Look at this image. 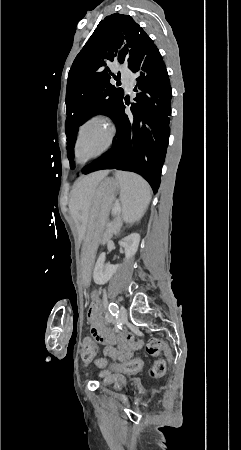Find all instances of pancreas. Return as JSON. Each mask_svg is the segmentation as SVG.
<instances>
[{"instance_id": "1", "label": "pancreas", "mask_w": 241, "mask_h": 450, "mask_svg": "<svg viewBox=\"0 0 241 450\" xmlns=\"http://www.w3.org/2000/svg\"><path fill=\"white\" fill-rule=\"evenodd\" d=\"M117 220H120V218H119V216H115V218H114V222H112V224H116V222H117ZM108 231L109 232H112L113 231V226H111V224H109V226H108ZM104 235V234H103ZM101 242L103 241L104 243H109L110 242V237L109 236H104L103 238L101 237L100 239H99ZM102 244V243H101Z\"/></svg>"}]
</instances>
